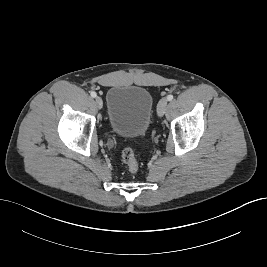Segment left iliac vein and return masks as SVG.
<instances>
[{
    "mask_svg": "<svg viewBox=\"0 0 267 267\" xmlns=\"http://www.w3.org/2000/svg\"><path fill=\"white\" fill-rule=\"evenodd\" d=\"M167 99L163 98L159 101L158 106H157V114L158 116L162 117L166 111L167 108Z\"/></svg>",
    "mask_w": 267,
    "mask_h": 267,
    "instance_id": "4c4485c4",
    "label": "left iliac vein"
}]
</instances>
